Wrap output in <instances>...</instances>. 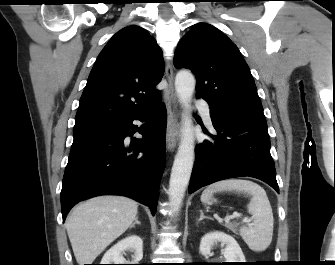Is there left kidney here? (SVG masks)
Listing matches in <instances>:
<instances>
[{
    "instance_id": "left-kidney-1",
    "label": "left kidney",
    "mask_w": 335,
    "mask_h": 265,
    "mask_svg": "<svg viewBox=\"0 0 335 265\" xmlns=\"http://www.w3.org/2000/svg\"><path fill=\"white\" fill-rule=\"evenodd\" d=\"M218 242L225 245L223 254L226 262H245L244 254L235 238L224 232L215 231L205 234L200 242V253L203 256L210 255L213 246Z\"/></svg>"
}]
</instances>
